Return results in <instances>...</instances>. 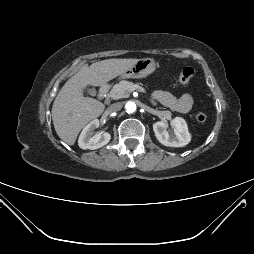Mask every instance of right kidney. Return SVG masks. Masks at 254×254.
Here are the masks:
<instances>
[{"instance_id": "obj_1", "label": "right kidney", "mask_w": 254, "mask_h": 254, "mask_svg": "<svg viewBox=\"0 0 254 254\" xmlns=\"http://www.w3.org/2000/svg\"><path fill=\"white\" fill-rule=\"evenodd\" d=\"M98 127V119L92 120L84 127L78 139V145L81 149L95 150L103 147L110 141L111 135L107 132L93 135L94 130Z\"/></svg>"}]
</instances>
